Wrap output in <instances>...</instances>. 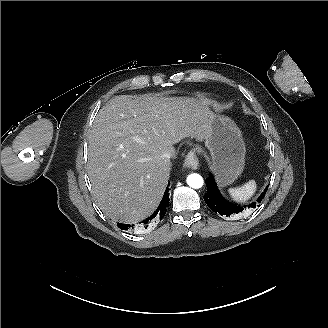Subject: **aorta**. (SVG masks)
I'll return each instance as SVG.
<instances>
[{
    "label": "aorta",
    "instance_id": "1",
    "mask_svg": "<svg viewBox=\"0 0 328 328\" xmlns=\"http://www.w3.org/2000/svg\"><path fill=\"white\" fill-rule=\"evenodd\" d=\"M187 184L194 189H199L203 186L204 180L201 175L192 173L187 176Z\"/></svg>",
    "mask_w": 328,
    "mask_h": 328
}]
</instances>
